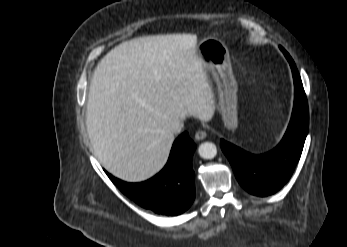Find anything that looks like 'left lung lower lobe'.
I'll use <instances>...</instances> for the list:
<instances>
[{
    "mask_svg": "<svg viewBox=\"0 0 347 247\" xmlns=\"http://www.w3.org/2000/svg\"><path fill=\"white\" fill-rule=\"evenodd\" d=\"M290 63L295 86L294 107L287 131L270 152L252 155L221 139V149L228 158L240 185L253 195L268 196L277 192L290 179L297 165L308 132V103L294 61L280 47Z\"/></svg>",
    "mask_w": 347,
    "mask_h": 247,
    "instance_id": "0a47b994",
    "label": "left lung lower lobe"
}]
</instances>
